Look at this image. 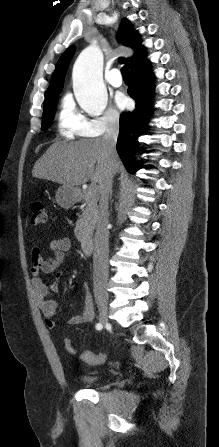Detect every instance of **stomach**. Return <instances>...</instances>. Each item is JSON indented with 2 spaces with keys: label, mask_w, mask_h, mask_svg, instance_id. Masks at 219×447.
<instances>
[{
  "label": "stomach",
  "mask_w": 219,
  "mask_h": 447,
  "mask_svg": "<svg viewBox=\"0 0 219 447\" xmlns=\"http://www.w3.org/2000/svg\"><path fill=\"white\" fill-rule=\"evenodd\" d=\"M79 195L77 188L63 185L56 192V201L62 208H70L77 202Z\"/></svg>",
  "instance_id": "1"
}]
</instances>
